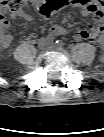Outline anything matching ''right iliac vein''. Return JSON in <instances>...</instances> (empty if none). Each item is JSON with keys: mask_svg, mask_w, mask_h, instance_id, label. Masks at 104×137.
<instances>
[{"mask_svg": "<svg viewBox=\"0 0 104 137\" xmlns=\"http://www.w3.org/2000/svg\"><path fill=\"white\" fill-rule=\"evenodd\" d=\"M47 45V42L42 39L40 42H39V48L43 49L45 46Z\"/></svg>", "mask_w": 104, "mask_h": 137, "instance_id": "right-iliac-vein-1", "label": "right iliac vein"}]
</instances>
